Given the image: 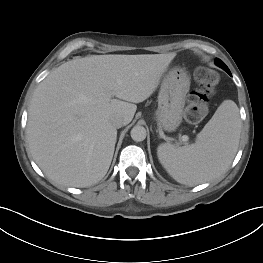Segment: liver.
<instances>
[{
    "instance_id": "obj_1",
    "label": "liver",
    "mask_w": 263,
    "mask_h": 263,
    "mask_svg": "<svg viewBox=\"0 0 263 263\" xmlns=\"http://www.w3.org/2000/svg\"><path fill=\"white\" fill-rule=\"evenodd\" d=\"M175 56L93 55L51 72L34 92L27 122L29 148L44 174L70 187L99 182L114 154L112 119L129 124Z\"/></svg>"
}]
</instances>
